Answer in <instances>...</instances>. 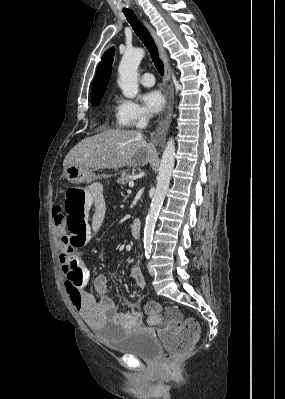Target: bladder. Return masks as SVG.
Listing matches in <instances>:
<instances>
[{
	"label": "bladder",
	"mask_w": 285,
	"mask_h": 399,
	"mask_svg": "<svg viewBox=\"0 0 285 399\" xmlns=\"http://www.w3.org/2000/svg\"><path fill=\"white\" fill-rule=\"evenodd\" d=\"M91 328L106 336L104 343L116 352L144 360H155L159 356V344L156 338L145 329H132L128 334L116 337L108 336V333L103 332L97 325H92Z\"/></svg>",
	"instance_id": "31cf9c89"
}]
</instances>
